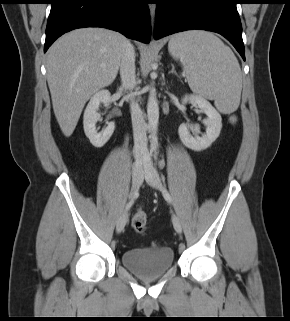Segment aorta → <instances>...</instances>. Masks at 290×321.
Segmentation results:
<instances>
[{"label":"aorta","instance_id":"1","mask_svg":"<svg viewBox=\"0 0 290 321\" xmlns=\"http://www.w3.org/2000/svg\"><path fill=\"white\" fill-rule=\"evenodd\" d=\"M152 85V89L149 94L147 102V116L150 129L151 148L156 149L158 144L157 131L159 122V106L155 93V88Z\"/></svg>","mask_w":290,"mask_h":321}]
</instances>
